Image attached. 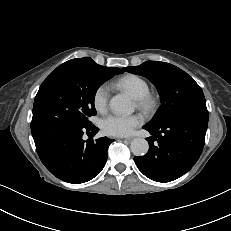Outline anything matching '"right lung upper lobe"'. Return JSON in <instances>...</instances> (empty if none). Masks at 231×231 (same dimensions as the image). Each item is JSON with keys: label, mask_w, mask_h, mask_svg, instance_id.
<instances>
[{"label": "right lung upper lobe", "mask_w": 231, "mask_h": 231, "mask_svg": "<svg viewBox=\"0 0 231 231\" xmlns=\"http://www.w3.org/2000/svg\"><path fill=\"white\" fill-rule=\"evenodd\" d=\"M84 63H95V62L89 57H84L80 59H72L63 64L69 65V64H84Z\"/></svg>", "instance_id": "1"}]
</instances>
